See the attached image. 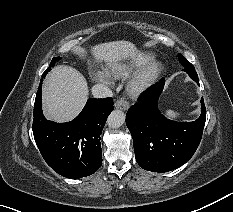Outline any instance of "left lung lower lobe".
<instances>
[{
    "mask_svg": "<svg viewBox=\"0 0 233 212\" xmlns=\"http://www.w3.org/2000/svg\"><path fill=\"white\" fill-rule=\"evenodd\" d=\"M199 84L195 70L186 69ZM165 80L162 78L131 106L126 125L131 132L137 163L145 170L168 172L185 164L195 153L203 133L206 108L201 99V116L193 122H174L157 107Z\"/></svg>",
    "mask_w": 233,
    "mask_h": 212,
    "instance_id": "obj_1",
    "label": "left lung lower lobe"
}]
</instances>
